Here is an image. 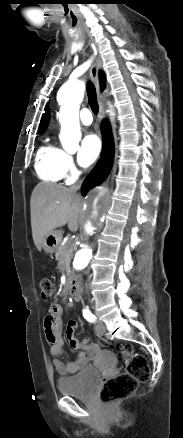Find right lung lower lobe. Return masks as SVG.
Instances as JSON below:
<instances>
[{"instance_id": "right-lung-lower-lobe-1", "label": "right lung lower lobe", "mask_w": 183, "mask_h": 438, "mask_svg": "<svg viewBox=\"0 0 183 438\" xmlns=\"http://www.w3.org/2000/svg\"><path fill=\"white\" fill-rule=\"evenodd\" d=\"M102 131L104 136V153L102 160L97 164L95 170L86 177L82 185V194L85 195L90 189L99 185L107 177L113 162L114 157V144L110 130V126L107 121L102 124Z\"/></svg>"}]
</instances>
